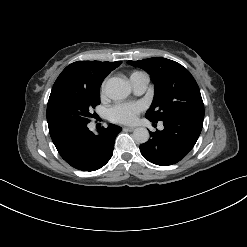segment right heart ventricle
I'll return each instance as SVG.
<instances>
[{"mask_svg":"<svg viewBox=\"0 0 247 247\" xmlns=\"http://www.w3.org/2000/svg\"><path fill=\"white\" fill-rule=\"evenodd\" d=\"M137 73H141V72H134L132 75L137 74Z\"/></svg>","mask_w":247,"mask_h":247,"instance_id":"right-heart-ventricle-1","label":"right heart ventricle"}]
</instances>
